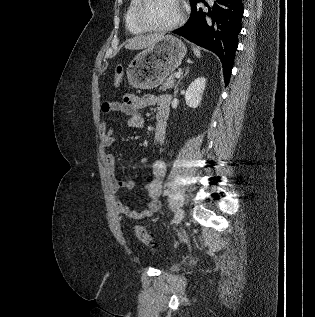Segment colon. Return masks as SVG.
Here are the masks:
<instances>
[{
  "label": "colon",
  "mask_w": 315,
  "mask_h": 317,
  "mask_svg": "<svg viewBox=\"0 0 315 317\" xmlns=\"http://www.w3.org/2000/svg\"><path fill=\"white\" fill-rule=\"evenodd\" d=\"M123 74H124L123 66L118 65L115 70L114 79H113V83L115 86H118L121 83ZM135 233L139 241L142 242L144 245L149 247H152L154 245L152 237L150 236V234L146 231L144 227L137 226L135 229Z\"/></svg>",
  "instance_id": "colon-1"
}]
</instances>
